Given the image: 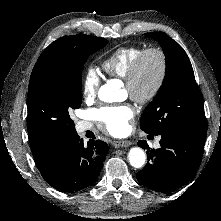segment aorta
Here are the masks:
<instances>
[{"instance_id":"762f6f07","label":"aorta","mask_w":221,"mask_h":221,"mask_svg":"<svg viewBox=\"0 0 221 221\" xmlns=\"http://www.w3.org/2000/svg\"><path fill=\"white\" fill-rule=\"evenodd\" d=\"M119 94L120 86L116 80H110L99 90V98L104 102L117 101ZM128 160L132 167L141 168L145 164L146 154L141 148L133 147L128 153Z\"/></svg>"}]
</instances>
